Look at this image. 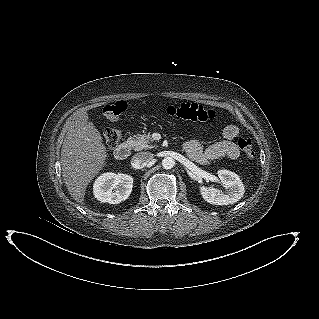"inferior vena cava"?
Returning <instances> with one entry per match:
<instances>
[{"instance_id":"inferior-vena-cava-1","label":"inferior vena cava","mask_w":319,"mask_h":319,"mask_svg":"<svg viewBox=\"0 0 319 319\" xmlns=\"http://www.w3.org/2000/svg\"><path fill=\"white\" fill-rule=\"evenodd\" d=\"M154 155L151 152L143 151L136 153L132 158V165L135 168H141L146 166L148 163L152 161Z\"/></svg>"}]
</instances>
